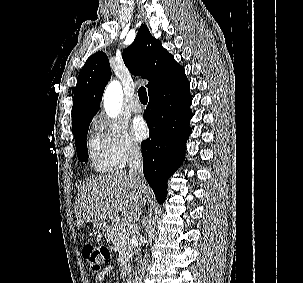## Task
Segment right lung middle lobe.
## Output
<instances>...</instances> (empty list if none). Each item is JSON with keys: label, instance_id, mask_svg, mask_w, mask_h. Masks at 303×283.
I'll return each instance as SVG.
<instances>
[{"label": "right lung middle lobe", "instance_id": "1", "mask_svg": "<svg viewBox=\"0 0 303 283\" xmlns=\"http://www.w3.org/2000/svg\"><path fill=\"white\" fill-rule=\"evenodd\" d=\"M90 122L86 121L73 129L78 160L81 162L88 160L86 138Z\"/></svg>", "mask_w": 303, "mask_h": 283}]
</instances>
